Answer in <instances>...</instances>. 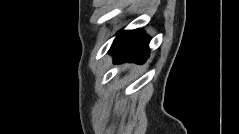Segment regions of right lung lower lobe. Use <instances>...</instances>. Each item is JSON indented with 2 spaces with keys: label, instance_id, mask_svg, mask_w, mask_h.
<instances>
[{
  "label": "right lung lower lobe",
  "instance_id": "98d812e1",
  "mask_svg": "<svg viewBox=\"0 0 239 134\" xmlns=\"http://www.w3.org/2000/svg\"><path fill=\"white\" fill-rule=\"evenodd\" d=\"M149 41V37L141 30L125 31L117 36L110 53L116 63L125 60L143 63L149 55Z\"/></svg>",
  "mask_w": 239,
  "mask_h": 134
}]
</instances>
